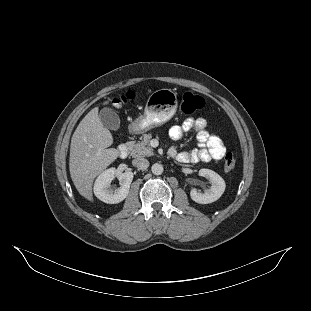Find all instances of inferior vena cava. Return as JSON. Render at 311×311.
<instances>
[{
	"label": "inferior vena cava",
	"instance_id": "obj_1",
	"mask_svg": "<svg viewBox=\"0 0 311 311\" xmlns=\"http://www.w3.org/2000/svg\"><path fill=\"white\" fill-rule=\"evenodd\" d=\"M132 164L140 170H146L149 166V161L145 158H136Z\"/></svg>",
	"mask_w": 311,
	"mask_h": 311
}]
</instances>
